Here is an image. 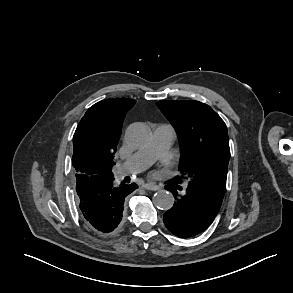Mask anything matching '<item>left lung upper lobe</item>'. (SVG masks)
Wrapping results in <instances>:
<instances>
[{"instance_id":"5c2ea615","label":"left lung upper lobe","mask_w":293,"mask_h":293,"mask_svg":"<svg viewBox=\"0 0 293 293\" xmlns=\"http://www.w3.org/2000/svg\"><path fill=\"white\" fill-rule=\"evenodd\" d=\"M176 127L182 146L177 182H193L223 197L230 148L227 127L210 106L198 101L165 100L157 103Z\"/></svg>"}]
</instances>
